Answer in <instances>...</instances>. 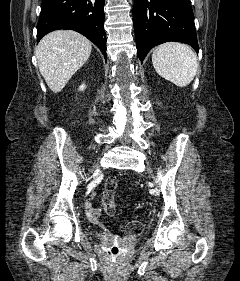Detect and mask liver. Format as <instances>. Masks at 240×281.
<instances>
[{"instance_id":"1","label":"liver","mask_w":240,"mask_h":281,"mask_svg":"<svg viewBox=\"0 0 240 281\" xmlns=\"http://www.w3.org/2000/svg\"><path fill=\"white\" fill-rule=\"evenodd\" d=\"M91 50V42L75 31L57 30L43 37L35 49V55L50 90L60 92L86 63Z\"/></svg>"}]
</instances>
